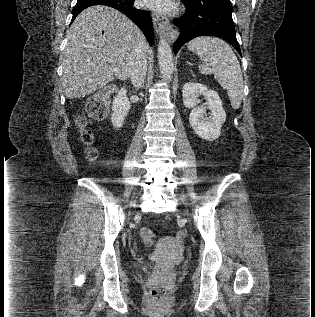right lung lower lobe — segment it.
Segmentation results:
<instances>
[{
	"instance_id": "obj_1",
	"label": "right lung lower lobe",
	"mask_w": 315,
	"mask_h": 317,
	"mask_svg": "<svg viewBox=\"0 0 315 317\" xmlns=\"http://www.w3.org/2000/svg\"><path fill=\"white\" fill-rule=\"evenodd\" d=\"M135 0H77V4L72 10L73 18L72 21L76 18V16L85 8L93 6V5H106L113 7L123 14H125L128 18H130L144 33L150 45L153 43V26H152V18L148 11H143L140 9H136L133 6Z\"/></svg>"
}]
</instances>
